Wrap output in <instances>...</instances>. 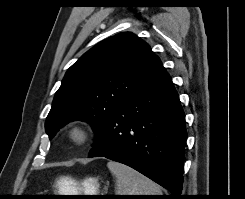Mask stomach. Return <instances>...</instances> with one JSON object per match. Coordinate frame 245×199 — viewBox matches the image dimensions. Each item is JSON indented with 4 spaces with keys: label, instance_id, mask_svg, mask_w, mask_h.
Segmentation results:
<instances>
[{
    "label": "stomach",
    "instance_id": "0dacf381",
    "mask_svg": "<svg viewBox=\"0 0 245 199\" xmlns=\"http://www.w3.org/2000/svg\"><path fill=\"white\" fill-rule=\"evenodd\" d=\"M58 186L61 192L71 193L66 195H81L77 193H84L82 195H97L96 193L99 191L98 180L92 177L86 178L80 183L70 178H61L58 181Z\"/></svg>",
    "mask_w": 245,
    "mask_h": 199
}]
</instances>
